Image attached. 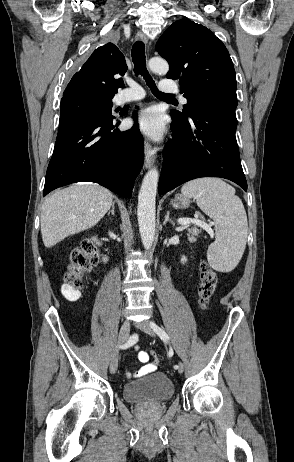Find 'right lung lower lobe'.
Returning a JSON list of instances; mask_svg holds the SVG:
<instances>
[{
    "label": "right lung lower lobe",
    "mask_w": 294,
    "mask_h": 462,
    "mask_svg": "<svg viewBox=\"0 0 294 462\" xmlns=\"http://www.w3.org/2000/svg\"><path fill=\"white\" fill-rule=\"evenodd\" d=\"M118 125V121L103 118L59 125L43 196L58 187L87 181L130 198L143 164V138L136 123L124 132L115 129Z\"/></svg>",
    "instance_id": "98d812e1"
}]
</instances>
